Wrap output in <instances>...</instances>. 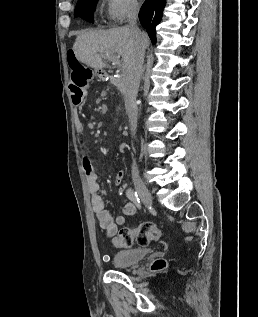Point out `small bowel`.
Returning a JSON list of instances; mask_svg holds the SVG:
<instances>
[{"label": "small bowel", "instance_id": "small-bowel-1", "mask_svg": "<svg viewBox=\"0 0 258 317\" xmlns=\"http://www.w3.org/2000/svg\"><path fill=\"white\" fill-rule=\"evenodd\" d=\"M84 119V115H79L74 121L75 132L80 142L83 141L84 136ZM82 167L88 182L93 212L105 234L108 237H112L117 233L118 227L123 225L128 217L135 214V205L131 202L126 203L122 208V213L114 218L106 207L104 200L105 191L101 187L99 177L93 166L92 160L86 155L82 158ZM124 177L125 172L123 170L119 171L115 176V183L117 185L121 184Z\"/></svg>", "mask_w": 258, "mask_h": 317}]
</instances>
